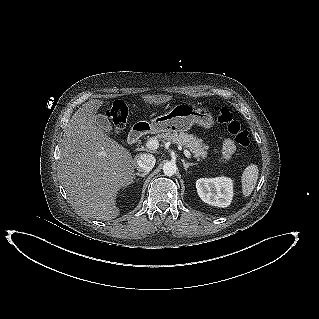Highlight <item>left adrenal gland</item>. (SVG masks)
I'll return each mask as SVG.
<instances>
[{
    "label": "left adrenal gland",
    "mask_w": 319,
    "mask_h": 319,
    "mask_svg": "<svg viewBox=\"0 0 319 319\" xmlns=\"http://www.w3.org/2000/svg\"><path fill=\"white\" fill-rule=\"evenodd\" d=\"M182 163H183V166H184V169H185L186 172H187V170H188V168H189L190 166L197 165V163H188V162H186L184 159L182 160Z\"/></svg>",
    "instance_id": "1"
}]
</instances>
